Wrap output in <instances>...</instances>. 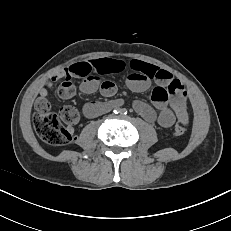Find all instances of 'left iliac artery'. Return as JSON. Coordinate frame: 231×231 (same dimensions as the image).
I'll return each instance as SVG.
<instances>
[{"label": "left iliac artery", "mask_w": 231, "mask_h": 231, "mask_svg": "<svg viewBox=\"0 0 231 231\" xmlns=\"http://www.w3.org/2000/svg\"><path fill=\"white\" fill-rule=\"evenodd\" d=\"M121 112H122L123 114H126V113H127V111H126L125 109L121 110Z\"/></svg>", "instance_id": "left-iliac-artery-1"}]
</instances>
